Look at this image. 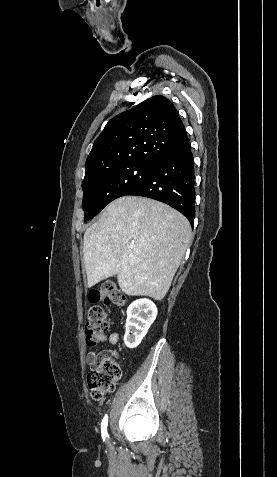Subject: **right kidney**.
<instances>
[{
	"mask_svg": "<svg viewBox=\"0 0 277 477\" xmlns=\"http://www.w3.org/2000/svg\"><path fill=\"white\" fill-rule=\"evenodd\" d=\"M157 307L149 299H138L127 309L124 342L128 348H136L147 334L157 316Z\"/></svg>",
	"mask_w": 277,
	"mask_h": 477,
	"instance_id": "1",
	"label": "right kidney"
}]
</instances>
